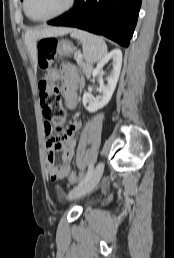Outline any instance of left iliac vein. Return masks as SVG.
<instances>
[{
	"label": "left iliac vein",
	"mask_w": 174,
	"mask_h": 258,
	"mask_svg": "<svg viewBox=\"0 0 174 258\" xmlns=\"http://www.w3.org/2000/svg\"><path fill=\"white\" fill-rule=\"evenodd\" d=\"M104 164L99 162L91 176V178L83 185L73 189L69 195V199H76L90 193L98 184L103 174Z\"/></svg>",
	"instance_id": "obj_1"
}]
</instances>
